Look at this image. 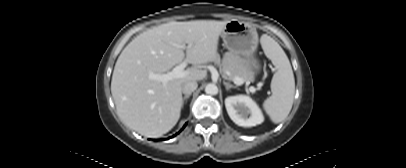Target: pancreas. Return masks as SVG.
Listing matches in <instances>:
<instances>
[{"instance_id":"cf45deb5","label":"pancreas","mask_w":406,"mask_h":168,"mask_svg":"<svg viewBox=\"0 0 406 168\" xmlns=\"http://www.w3.org/2000/svg\"><path fill=\"white\" fill-rule=\"evenodd\" d=\"M214 62L219 66L220 72L230 79L239 77L244 82H251L254 80V74L248 69L246 63L231 53H226L222 62L217 56Z\"/></svg>"}]
</instances>
